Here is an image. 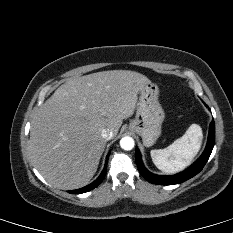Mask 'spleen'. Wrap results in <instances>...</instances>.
Returning a JSON list of instances; mask_svg holds the SVG:
<instances>
[{
  "instance_id": "3e777b00",
  "label": "spleen",
  "mask_w": 233,
  "mask_h": 233,
  "mask_svg": "<svg viewBox=\"0 0 233 233\" xmlns=\"http://www.w3.org/2000/svg\"><path fill=\"white\" fill-rule=\"evenodd\" d=\"M202 129L192 124L185 134L164 149L151 150L155 166L168 174L183 170L199 152L202 143Z\"/></svg>"
}]
</instances>
